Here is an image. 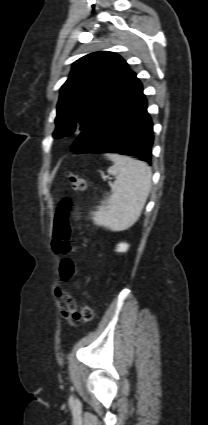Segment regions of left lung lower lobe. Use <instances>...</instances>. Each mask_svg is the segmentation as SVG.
<instances>
[{
	"label": "left lung lower lobe",
	"instance_id": "0a47b994",
	"mask_svg": "<svg viewBox=\"0 0 208 425\" xmlns=\"http://www.w3.org/2000/svg\"><path fill=\"white\" fill-rule=\"evenodd\" d=\"M79 153L103 152L137 156L151 163L153 124L142 83L135 78L82 130Z\"/></svg>",
	"mask_w": 208,
	"mask_h": 425
}]
</instances>
